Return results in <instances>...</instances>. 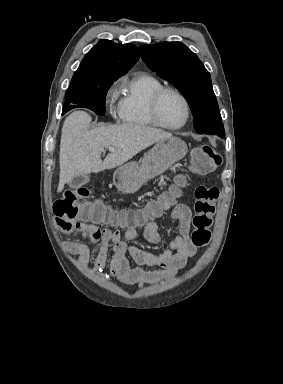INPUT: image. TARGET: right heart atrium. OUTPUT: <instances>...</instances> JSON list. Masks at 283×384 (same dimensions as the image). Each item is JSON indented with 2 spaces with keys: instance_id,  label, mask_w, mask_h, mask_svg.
Masks as SVG:
<instances>
[{
  "instance_id": "obj_1",
  "label": "right heart atrium",
  "mask_w": 283,
  "mask_h": 384,
  "mask_svg": "<svg viewBox=\"0 0 283 384\" xmlns=\"http://www.w3.org/2000/svg\"><path fill=\"white\" fill-rule=\"evenodd\" d=\"M119 89H120L119 82L114 81L108 86V88L106 90L107 108H108L111 116L114 118L119 116L118 105H116V103H115Z\"/></svg>"
}]
</instances>
